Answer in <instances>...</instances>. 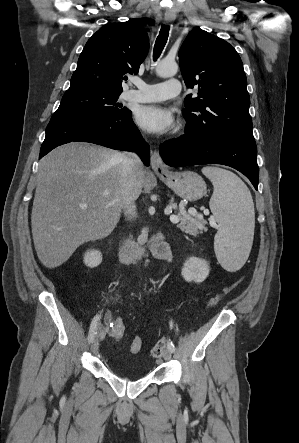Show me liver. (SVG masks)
<instances>
[{
    "instance_id": "obj_1",
    "label": "liver",
    "mask_w": 299,
    "mask_h": 443,
    "mask_svg": "<svg viewBox=\"0 0 299 443\" xmlns=\"http://www.w3.org/2000/svg\"><path fill=\"white\" fill-rule=\"evenodd\" d=\"M146 172L136 173L133 200ZM121 153L72 142L52 150L39 163L31 214L37 256L47 268L66 262L83 243L109 235L122 205ZM86 204L82 209L80 205Z\"/></svg>"
}]
</instances>
